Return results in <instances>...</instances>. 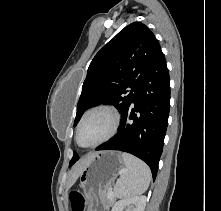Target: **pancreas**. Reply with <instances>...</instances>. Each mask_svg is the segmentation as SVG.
<instances>
[{
  "label": "pancreas",
  "mask_w": 221,
  "mask_h": 211,
  "mask_svg": "<svg viewBox=\"0 0 221 211\" xmlns=\"http://www.w3.org/2000/svg\"><path fill=\"white\" fill-rule=\"evenodd\" d=\"M110 189H107V193H106V196H107V198H106V202H107V204L108 205H113L114 204V202H115V198H114V196L113 197H108V191H109Z\"/></svg>",
  "instance_id": "1"
}]
</instances>
